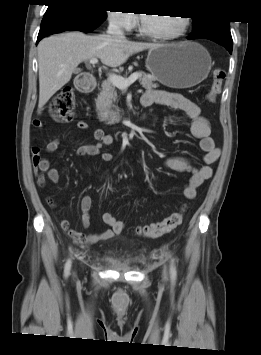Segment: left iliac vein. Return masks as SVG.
Here are the masks:
<instances>
[{"label": "left iliac vein", "instance_id": "1", "mask_svg": "<svg viewBox=\"0 0 261 355\" xmlns=\"http://www.w3.org/2000/svg\"><path fill=\"white\" fill-rule=\"evenodd\" d=\"M163 279H164V281H166V279H167V272H166V270H164V272H163Z\"/></svg>", "mask_w": 261, "mask_h": 355}]
</instances>
